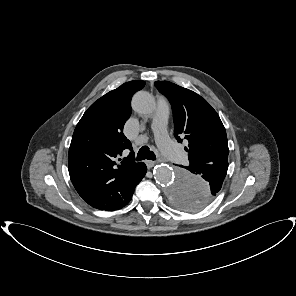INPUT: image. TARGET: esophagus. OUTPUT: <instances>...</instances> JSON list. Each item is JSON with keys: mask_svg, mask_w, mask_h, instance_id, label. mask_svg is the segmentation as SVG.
Instances as JSON below:
<instances>
[{"mask_svg": "<svg viewBox=\"0 0 296 296\" xmlns=\"http://www.w3.org/2000/svg\"><path fill=\"white\" fill-rule=\"evenodd\" d=\"M146 166L151 169L152 167H154V165L156 164L155 161H151V160H146L145 161Z\"/></svg>", "mask_w": 296, "mask_h": 296, "instance_id": "34e87169", "label": "esophagus"}]
</instances>
